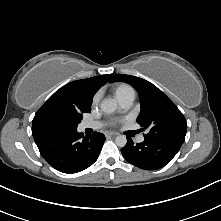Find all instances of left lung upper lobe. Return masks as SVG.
<instances>
[{"label":"left lung upper lobe","mask_w":221,"mask_h":221,"mask_svg":"<svg viewBox=\"0 0 221 221\" xmlns=\"http://www.w3.org/2000/svg\"><path fill=\"white\" fill-rule=\"evenodd\" d=\"M112 81L127 82L137 90L141 103L137 122L142 130L149 131L144 138L184 142L185 117L160 89L145 79L129 75H114Z\"/></svg>","instance_id":"1"}]
</instances>
